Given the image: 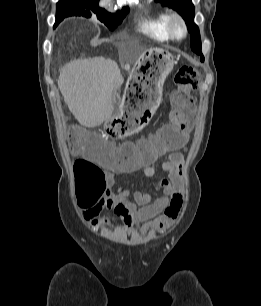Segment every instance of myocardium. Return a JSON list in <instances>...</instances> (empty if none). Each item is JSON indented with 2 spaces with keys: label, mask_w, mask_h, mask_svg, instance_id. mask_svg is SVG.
<instances>
[{
  "label": "myocardium",
  "mask_w": 261,
  "mask_h": 306,
  "mask_svg": "<svg viewBox=\"0 0 261 306\" xmlns=\"http://www.w3.org/2000/svg\"><path fill=\"white\" fill-rule=\"evenodd\" d=\"M168 29L171 38L182 40L187 36L188 30L184 19L179 14H172L168 20Z\"/></svg>",
  "instance_id": "obj_1"
}]
</instances>
